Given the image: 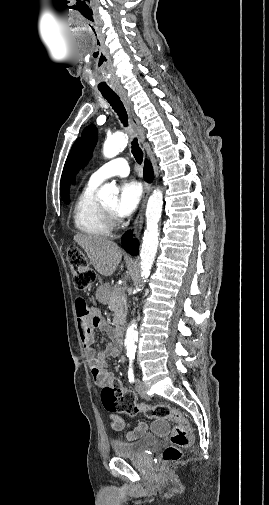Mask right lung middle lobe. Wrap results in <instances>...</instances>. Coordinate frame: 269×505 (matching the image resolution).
Returning <instances> with one entry per match:
<instances>
[{"instance_id": "right-lung-middle-lobe-1", "label": "right lung middle lobe", "mask_w": 269, "mask_h": 505, "mask_svg": "<svg viewBox=\"0 0 269 505\" xmlns=\"http://www.w3.org/2000/svg\"><path fill=\"white\" fill-rule=\"evenodd\" d=\"M65 204H69L70 203V200H65L64 201Z\"/></svg>"}]
</instances>
